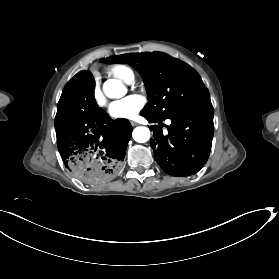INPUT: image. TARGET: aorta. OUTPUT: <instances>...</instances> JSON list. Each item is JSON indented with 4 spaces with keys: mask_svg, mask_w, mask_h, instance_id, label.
<instances>
[{
    "mask_svg": "<svg viewBox=\"0 0 279 279\" xmlns=\"http://www.w3.org/2000/svg\"><path fill=\"white\" fill-rule=\"evenodd\" d=\"M103 91L109 98H121L127 93L125 85L116 79H108L103 85ZM133 139L138 143L147 142L150 139V130L147 127L139 126L133 130Z\"/></svg>",
    "mask_w": 279,
    "mask_h": 279,
    "instance_id": "1",
    "label": "aorta"
}]
</instances>
